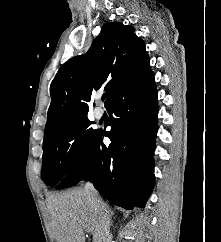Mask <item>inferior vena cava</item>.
<instances>
[{"label":"inferior vena cava","instance_id":"inferior-vena-cava-1","mask_svg":"<svg viewBox=\"0 0 221 242\" xmlns=\"http://www.w3.org/2000/svg\"><path fill=\"white\" fill-rule=\"evenodd\" d=\"M84 190L97 219L95 242H111L110 220L107 205L99 197L92 183L87 182Z\"/></svg>","mask_w":221,"mask_h":242}]
</instances>
